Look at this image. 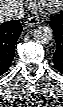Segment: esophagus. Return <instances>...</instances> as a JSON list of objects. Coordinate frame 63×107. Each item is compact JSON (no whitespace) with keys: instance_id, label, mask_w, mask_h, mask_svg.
Listing matches in <instances>:
<instances>
[{"instance_id":"34e87169","label":"esophagus","mask_w":63,"mask_h":107,"mask_svg":"<svg viewBox=\"0 0 63 107\" xmlns=\"http://www.w3.org/2000/svg\"><path fill=\"white\" fill-rule=\"evenodd\" d=\"M39 24V19L35 16L29 17L26 21V26L28 27H34Z\"/></svg>"}]
</instances>
